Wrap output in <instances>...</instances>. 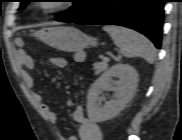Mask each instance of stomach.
Returning <instances> with one entry per match:
<instances>
[{"mask_svg":"<svg viewBox=\"0 0 182 140\" xmlns=\"http://www.w3.org/2000/svg\"><path fill=\"white\" fill-rule=\"evenodd\" d=\"M47 45L64 52H81L87 46H96L97 39L68 26L47 27L36 32Z\"/></svg>","mask_w":182,"mask_h":140,"instance_id":"obj_1","label":"stomach"}]
</instances>
